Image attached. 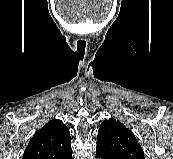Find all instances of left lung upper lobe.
Masks as SVG:
<instances>
[{
	"instance_id": "left-lung-upper-lobe-1",
	"label": "left lung upper lobe",
	"mask_w": 173,
	"mask_h": 159,
	"mask_svg": "<svg viewBox=\"0 0 173 159\" xmlns=\"http://www.w3.org/2000/svg\"><path fill=\"white\" fill-rule=\"evenodd\" d=\"M97 148L116 159H145L134 134L113 118L105 119L101 124Z\"/></svg>"
}]
</instances>
